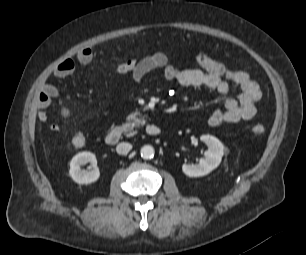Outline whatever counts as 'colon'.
I'll use <instances>...</instances> for the list:
<instances>
[{
	"label": "colon",
	"instance_id": "obj_1",
	"mask_svg": "<svg viewBox=\"0 0 306 255\" xmlns=\"http://www.w3.org/2000/svg\"><path fill=\"white\" fill-rule=\"evenodd\" d=\"M131 65L132 63L130 60L123 61L118 67L119 71L123 73H128L131 68ZM251 132L254 137H261L265 132V128L261 124H256L252 127ZM85 142V135L81 132L76 133L72 138V145L75 148H82L85 145Z\"/></svg>",
	"mask_w": 306,
	"mask_h": 255
}]
</instances>
